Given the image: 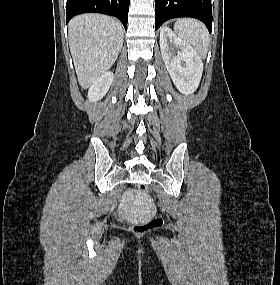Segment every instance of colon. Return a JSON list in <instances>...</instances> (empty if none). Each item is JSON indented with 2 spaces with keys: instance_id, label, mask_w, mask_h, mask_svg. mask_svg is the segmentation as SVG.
Masks as SVG:
<instances>
[{
  "instance_id": "5ec220e1",
  "label": "colon",
  "mask_w": 280,
  "mask_h": 285,
  "mask_svg": "<svg viewBox=\"0 0 280 285\" xmlns=\"http://www.w3.org/2000/svg\"><path fill=\"white\" fill-rule=\"evenodd\" d=\"M138 191L141 194H147L148 193V187L145 184H141L138 187ZM162 219L159 216L152 217L148 219L147 221L137 224L132 228L133 233L135 234H144L153 230H156L162 226Z\"/></svg>"
}]
</instances>
